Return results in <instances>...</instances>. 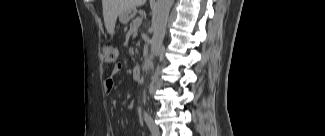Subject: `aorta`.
Instances as JSON below:
<instances>
[{
    "label": "aorta",
    "instance_id": "obj_1",
    "mask_svg": "<svg viewBox=\"0 0 325 136\" xmlns=\"http://www.w3.org/2000/svg\"><path fill=\"white\" fill-rule=\"evenodd\" d=\"M173 5V0H158L156 9L153 14V36L150 41L151 56L159 53L162 42L166 34V27L169 17V12Z\"/></svg>",
    "mask_w": 325,
    "mask_h": 136
}]
</instances>
